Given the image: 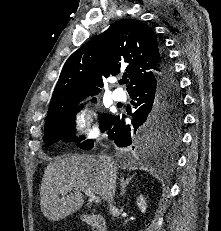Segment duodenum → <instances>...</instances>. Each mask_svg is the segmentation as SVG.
<instances>
[{
    "instance_id": "1",
    "label": "duodenum",
    "mask_w": 221,
    "mask_h": 231,
    "mask_svg": "<svg viewBox=\"0 0 221 231\" xmlns=\"http://www.w3.org/2000/svg\"><path fill=\"white\" fill-rule=\"evenodd\" d=\"M81 219L86 224L90 225L94 231H106L105 220L98 214H84Z\"/></svg>"
}]
</instances>
